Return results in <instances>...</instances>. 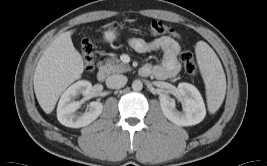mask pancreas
Here are the masks:
<instances>
[{
	"instance_id": "pancreas-1",
	"label": "pancreas",
	"mask_w": 267,
	"mask_h": 166,
	"mask_svg": "<svg viewBox=\"0 0 267 166\" xmlns=\"http://www.w3.org/2000/svg\"><path fill=\"white\" fill-rule=\"evenodd\" d=\"M102 69L106 74H112L130 71L131 67L122 63L117 57H111L106 59L105 65L102 66Z\"/></svg>"
}]
</instances>
